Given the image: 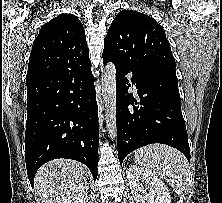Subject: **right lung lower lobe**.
I'll use <instances>...</instances> for the list:
<instances>
[{
	"instance_id": "obj_1",
	"label": "right lung lower lobe",
	"mask_w": 222,
	"mask_h": 203,
	"mask_svg": "<svg viewBox=\"0 0 222 203\" xmlns=\"http://www.w3.org/2000/svg\"><path fill=\"white\" fill-rule=\"evenodd\" d=\"M91 65L27 82L25 160L28 178L56 158L82 162L94 179L98 169V106Z\"/></svg>"
}]
</instances>
